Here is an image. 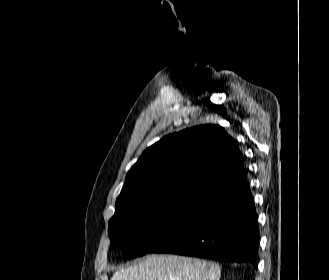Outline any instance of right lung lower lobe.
Here are the masks:
<instances>
[{"label": "right lung lower lobe", "mask_w": 329, "mask_h": 280, "mask_svg": "<svg viewBox=\"0 0 329 280\" xmlns=\"http://www.w3.org/2000/svg\"><path fill=\"white\" fill-rule=\"evenodd\" d=\"M259 231L256 210L241 170L221 179L183 223L149 253H172L256 266Z\"/></svg>", "instance_id": "obj_1"}]
</instances>
